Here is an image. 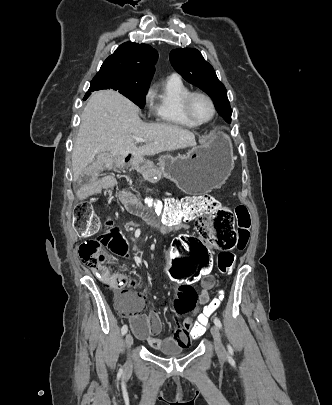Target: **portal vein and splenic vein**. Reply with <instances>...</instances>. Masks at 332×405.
I'll use <instances>...</instances> for the list:
<instances>
[{
	"label": "portal vein and splenic vein",
	"mask_w": 332,
	"mask_h": 405,
	"mask_svg": "<svg viewBox=\"0 0 332 405\" xmlns=\"http://www.w3.org/2000/svg\"><path fill=\"white\" fill-rule=\"evenodd\" d=\"M135 140H136V142H146L143 138H140V137L136 138Z\"/></svg>",
	"instance_id": "18ae733b"
}]
</instances>
